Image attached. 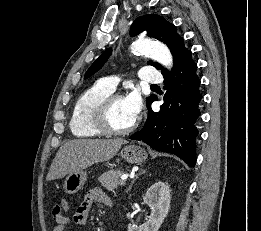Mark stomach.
I'll return each mask as SVG.
<instances>
[{"instance_id":"stomach-1","label":"stomach","mask_w":261,"mask_h":231,"mask_svg":"<svg viewBox=\"0 0 261 231\" xmlns=\"http://www.w3.org/2000/svg\"><path fill=\"white\" fill-rule=\"evenodd\" d=\"M120 156L131 164H140L147 158V153L140 146L128 145L121 149ZM87 180L84 170L69 174L64 181V190L68 194H74L83 188Z\"/></svg>"}]
</instances>
